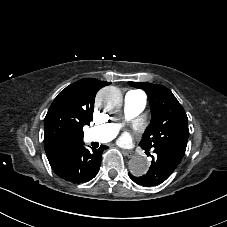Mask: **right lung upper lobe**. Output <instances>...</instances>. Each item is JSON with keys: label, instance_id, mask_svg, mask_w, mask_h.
<instances>
[{"label": "right lung upper lobe", "instance_id": "obj_1", "mask_svg": "<svg viewBox=\"0 0 227 227\" xmlns=\"http://www.w3.org/2000/svg\"><path fill=\"white\" fill-rule=\"evenodd\" d=\"M109 84L110 82L94 78L81 79L66 87L55 98L44 119V146L50 164L56 163L70 148L83 143L82 127L84 125L78 126L81 123L77 121L75 125H70L60 132H53L50 129V123L54 116L70 103H78L88 109H93L97 91Z\"/></svg>", "mask_w": 227, "mask_h": 227}]
</instances>
